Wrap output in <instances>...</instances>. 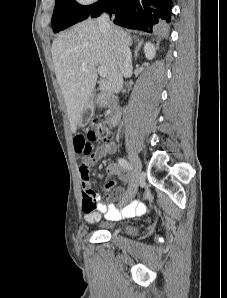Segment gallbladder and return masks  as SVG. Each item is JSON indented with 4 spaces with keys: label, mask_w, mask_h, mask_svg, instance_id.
<instances>
[{
    "label": "gallbladder",
    "mask_w": 227,
    "mask_h": 298,
    "mask_svg": "<svg viewBox=\"0 0 227 298\" xmlns=\"http://www.w3.org/2000/svg\"><path fill=\"white\" fill-rule=\"evenodd\" d=\"M92 115H93V103L91 100L90 103L88 104L87 108L84 110V112L82 114V118H81V122H80L79 126H81V127L85 126L90 121Z\"/></svg>",
    "instance_id": "1"
}]
</instances>
